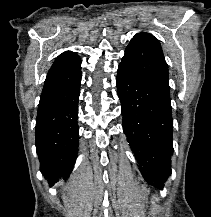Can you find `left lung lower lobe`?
<instances>
[{
  "label": "left lung lower lobe",
  "instance_id": "1",
  "mask_svg": "<svg viewBox=\"0 0 211 217\" xmlns=\"http://www.w3.org/2000/svg\"><path fill=\"white\" fill-rule=\"evenodd\" d=\"M122 126L145 181L163 188L171 175L173 119L170 97L119 65L116 78Z\"/></svg>",
  "mask_w": 211,
  "mask_h": 217
}]
</instances>
